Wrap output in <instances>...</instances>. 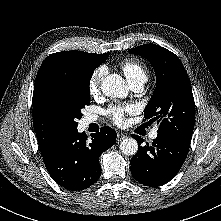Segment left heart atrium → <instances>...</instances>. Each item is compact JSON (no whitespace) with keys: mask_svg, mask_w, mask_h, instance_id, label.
Returning <instances> with one entry per match:
<instances>
[{"mask_svg":"<svg viewBox=\"0 0 221 221\" xmlns=\"http://www.w3.org/2000/svg\"><path fill=\"white\" fill-rule=\"evenodd\" d=\"M135 112V107L131 104H113L110 105L106 110L105 114L115 123L123 124L125 116Z\"/></svg>","mask_w":221,"mask_h":221,"instance_id":"obj_1","label":"left heart atrium"}]
</instances>
